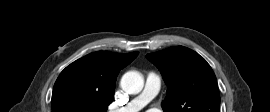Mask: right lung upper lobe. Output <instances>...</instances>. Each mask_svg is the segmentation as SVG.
I'll list each match as a JSON object with an SVG mask.
<instances>
[{
  "label": "right lung upper lobe",
  "mask_w": 270,
  "mask_h": 112,
  "mask_svg": "<svg viewBox=\"0 0 270 112\" xmlns=\"http://www.w3.org/2000/svg\"><path fill=\"white\" fill-rule=\"evenodd\" d=\"M137 55L138 52L123 54L98 51L76 60L57 78L53 87L52 101L60 94L72 92L111 103L119 71L131 63Z\"/></svg>",
  "instance_id": "1"
}]
</instances>
